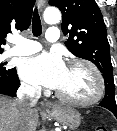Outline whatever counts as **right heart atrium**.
<instances>
[{"instance_id":"right-heart-atrium-1","label":"right heart atrium","mask_w":117,"mask_h":131,"mask_svg":"<svg viewBox=\"0 0 117 131\" xmlns=\"http://www.w3.org/2000/svg\"><path fill=\"white\" fill-rule=\"evenodd\" d=\"M22 88L28 93H36L38 92V87L32 84L23 83Z\"/></svg>"}]
</instances>
